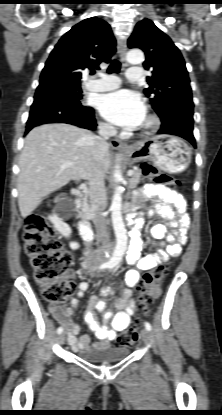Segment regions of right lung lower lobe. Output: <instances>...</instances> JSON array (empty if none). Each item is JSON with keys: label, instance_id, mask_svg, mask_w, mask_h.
I'll use <instances>...</instances> for the list:
<instances>
[{"label": "right lung lower lobe", "instance_id": "98d812e1", "mask_svg": "<svg viewBox=\"0 0 222 415\" xmlns=\"http://www.w3.org/2000/svg\"><path fill=\"white\" fill-rule=\"evenodd\" d=\"M62 122L94 130L97 126L94 110L85 107L67 89L65 80L55 76L40 79L27 121L26 133L33 127Z\"/></svg>", "mask_w": 222, "mask_h": 415}]
</instances>
